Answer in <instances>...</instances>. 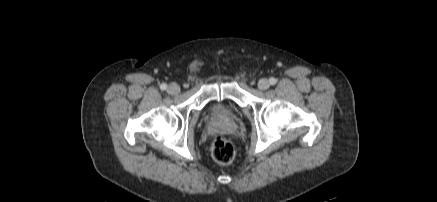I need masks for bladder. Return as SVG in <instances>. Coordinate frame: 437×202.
<instances>
[{"instance_id": "bladder-1", "label": "bladder", "mask_w": 437, "mask_h": 202, "mask_svg": "<svg viewBox=\"0 0 437 202\" xmlns=\"http://www.w3.org/2000/svg\"><path fill=\"white\" fill-rule=\"evenodd\" d=\"M211 115L214 116V117L223 118V117L230 116L231 113L227 112L226 110H224V109H222L220 107H214L211 110Z\"/></svg>"}]
</instances>
